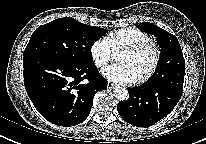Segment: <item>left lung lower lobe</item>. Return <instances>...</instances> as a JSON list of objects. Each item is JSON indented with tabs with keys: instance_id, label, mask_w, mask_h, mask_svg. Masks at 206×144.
Returning a JSON list of instances; mask_svg holds the SVG:
<instances>
[{
	"instance_id": "1",
	"label": "left lung lower lobe",
	"mask_w": 206,
	"mask_h": 144,
	"mask_svg": "<svg viewBox=\"0 0 206 144\" xmlns=\"http://www.w3.org/2000/svg\"><path fill=\"white\" fill-rule=\"evenodd\" d=\"M184 69H174L157 83L129 88V98L117 104L121 118L137 127H149L167 116L183 92Z\"/></svg>"
}]
</instances>
